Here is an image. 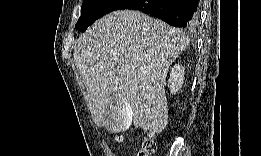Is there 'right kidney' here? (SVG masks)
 <instances>
[{
	"mask_svg": "<svg viewBox=\"0 0 261 156\" xmlns=\"http://www.w3.org/2000/svg\"><path fill=\"white\" fill-rule=\"evenodd\" d=\"M185 68L180 65H175L171 69L170 78L168 80V87L172 94H176L181 89L184 81Z\"/></svg>",
	"mask_w": 261,
	"mask_h": 156,
	"instance_id": "right-kidney-1",
	"label": "right kidney"
}]
</instances>
